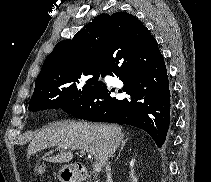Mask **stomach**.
I'll return each mask as SVG.
<instances>
[{
  "label": "stomach",
  "mask_w": 211,
  "mask_h": 182,
  "mask_svg": "<svg viewBox=\"0 0 211 182\" xmlns=\"http://www.w3.org/2000/svg\"><path fill=\"white\" fill-rule=\"evenodd\" d=\"M58 177L61 182H77L78 174L72 166L64 165L61 167Z\"/></svg>",
  "instance_id": "0dacf381"
}]
</instances>
